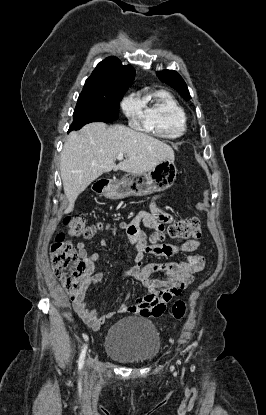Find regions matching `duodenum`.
Returning <instances> with one entry per match:
<instances>
[{"instance_id":"1","label":"duodenum","mask_w":266,"mask_h":415,"mask_svg":"<svg viewBox=\"0 0 266 415\" xmlns=\"http://www.w3.org/2000/svg\"><path fill=\"white\" fill-rule=\"evenodd\" d=\"M108 187L107 181H100L96 184L95 190L99 193L104 192Z\"/></svg>"}]
</instances>
